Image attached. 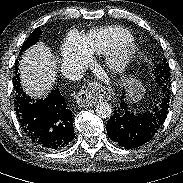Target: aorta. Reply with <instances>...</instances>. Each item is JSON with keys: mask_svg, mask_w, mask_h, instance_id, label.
<instances>
[{"mask_svg": "<svg viewBox=\"0 0 183 183\" xmlns=\"http://www.w3.org/2000/svg\"><path fill=\"white\" fill-rule=\"evenodd\" d=\"M96 112L102 118H109L112 115V107L107 102H100L96 106Z\"/></svg>", "mask_w": 183, "mask_h": 183, "instance_id": "1", "label": "aorta"}]
</instances>
